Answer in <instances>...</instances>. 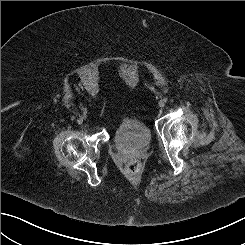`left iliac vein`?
Returning a JSON list of instances; mask_svg holds the SVG:
<instances>
[{"label":"left iliac vein","instance_id":"left-iliac-vein-1","mask_svg":"<svg viewBox=\"0 0 245 245\" xmlns=\"http://www.w3.org/2000/svg\"><path fill=\"white\" fill-rule=\"evenodd\" d=\"M158 105H159L160 107H164L165 103H164V101L161 100V101H159Z\"/></svg>","mask_w":245,"mask_h":245}]
</instances>
